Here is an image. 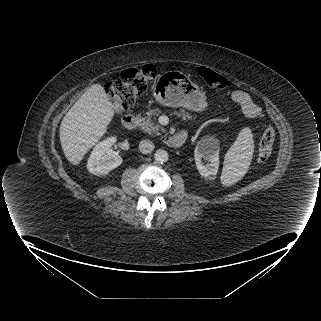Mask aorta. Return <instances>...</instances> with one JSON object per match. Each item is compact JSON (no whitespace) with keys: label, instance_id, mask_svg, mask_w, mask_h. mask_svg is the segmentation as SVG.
<instances>
[{"label":"aorta","instance_id":"762f6f07","mask_svg":"<svg viewBox=\"0 0 321 321\" xmlns=\"http://www.w3.org/2000/svg\"><path fill=\"white\" fill-rule=\"evenodd\" d=\"M168 152L163 149H158L154 154V159L157 163H164L168 160Z\"/></svg>","mask_w":321,"mask_h":321}]
</instances>
